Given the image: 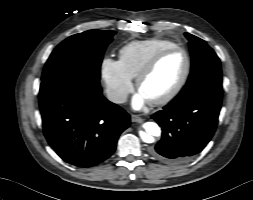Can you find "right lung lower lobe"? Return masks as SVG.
Listing matches in <instances>:
<instances>
[{"label": "right lung lower lobe", "mask_w": 253, "mask_h": 200, "mask_svg": "<svg viewBox=\"0 0 253 200\" xmlns=\"http://www.w3.org/2000/svg\"><path fill=\"white\" fill-rule=\"evenodd\" d=\"M39 105L44 135L66 162L91 167L109 158L130 115L102 95L99 82L82 76L43 81Z\"/></svg>", "instance_id": "1"}]
</instances>
